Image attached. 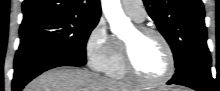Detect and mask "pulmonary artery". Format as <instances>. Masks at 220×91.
<instances>
[{
  "label": "pulmonary artery",
  "mask_w": 220,
  "mask_h": 91,
  "mask_svg": "<svg viewBox=\"0 0 220 91\" xmlns=\"http://www.w3.org/2000/svg\"><path fill=\"white\" fill-rule=\"evenodd\" d=\"M122 7L124 11L136 22H142L146 17L143 2L140 0H123Z\"/></svg>",
  "instance_id": "obj_1"
}]
</instances>
